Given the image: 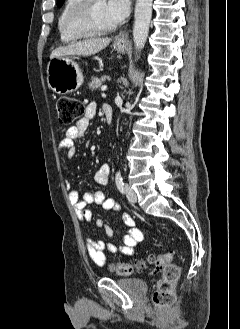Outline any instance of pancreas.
I'll return each instance as SVG.
<instances>
[{"instance_id": "1", "label": "pancreas", "mask_w": 240, "mask_h": 329, "mask_svg": "<svg viewBox=\"0 0 240 329\" xmlns=\"http://www.w3.org/2000/svg\"><path fill=\"white\" fill-rule=\"evenodd\" d=\"M106 79H108V76H102L100 79L98 77H92L91 82L88 84L89 89L92 91L96 90Z\"/></svg>"}]
</instances>
